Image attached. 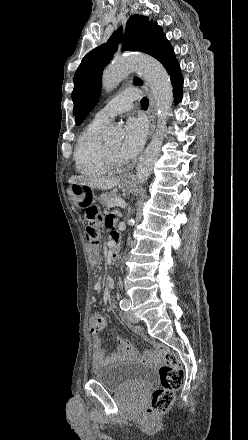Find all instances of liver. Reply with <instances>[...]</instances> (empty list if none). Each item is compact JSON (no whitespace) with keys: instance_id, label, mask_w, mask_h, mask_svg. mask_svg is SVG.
Wrapping results in <instances>:
<instances>
[{"instance_id":"obj_1","label":"liver","mask_w":248,"mask_h":440,"mask_svg":"<svg viewBox=\"0 0 248 440\" xmlns=\"http://www.w3.org/2000/svg\"><path fill=\"white\" fill-rule=\"evenodd\" d=\"M69 183L77 182L87 185L91 188H97L100 190H108L117 186L120 182L119 177L115 178H102V177H84V176H71L68 180Z\"/></svg>"}]
</instances>
